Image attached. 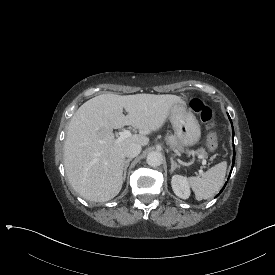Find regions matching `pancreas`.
<instances>
[{
    "label": "pancreas",
    "mask_w": 275,
    "mask_h": 275,
    "mask_svg": "<svg viewBox=\"0 0 275 275\" xmlns=\"http://www.w3.org/2000/svg\"><path fill=\"white\" fill-rule=\"evenodd\" d=\"M164 139L166 140V143L167 145L172 149V150H175L177 152H181V153H187L189 152V148L182 144L178 139L177 137L174 135V134H166L164 136ZM195 154H202V156L204 158H208V154L207 152L204 150V148H200L196 151H194Z\"/></svg>",
    "instance_id": "obj_1"
}]
</instances>
